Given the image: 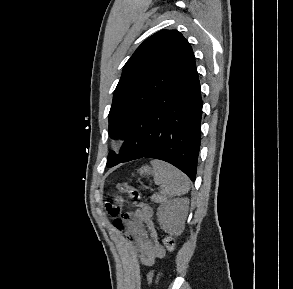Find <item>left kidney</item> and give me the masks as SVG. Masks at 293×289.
I'll list each match as a JSON object with an SVG mask.
<instances>
[{
    "mask_svg": "<svg viewBox=\"0 0 293 289\" xmlns=\"http://www.w3.org/2000/svg\"><path fill=\"white\" fill-rule=\"evenodd\" d=\"M188 206L189 200L185 198H176L164 202L157 211L161 228L171 235L179 234L185 223Z\"/></svg>",
    "mask_w": 293,
    "mask_h": 289,
    "instance_id": "obj_1",
    "label": "left kidney"
}]
</instances>
